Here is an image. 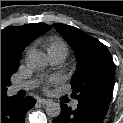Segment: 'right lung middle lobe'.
I'll return each mask as SVG.
<instances>
[{
	"instance_id": "obj_1",
	"label": "right lung middle lobe",
	"mask_w": 123,
	"mask_h": 123,
	"mask_svg": "<svg viewBox=\"0 0 123 123\" xmlns=\"http://www.w3.org/2000/svg\"><path fill=\"white\" fill-rule=\"evenodd\" d=\"M13 73L6 69H1V95L7 93V86L10 84V77Z\"/></svg>"
}]
</instances>
